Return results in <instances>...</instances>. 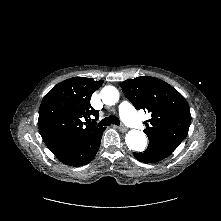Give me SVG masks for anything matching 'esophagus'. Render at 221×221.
<instances>
[{
	"instance_id": "esophagus-1",
	"label": "esophagus",
	"mask_w": 221,
	"mask_h": 221,
	"mask_svg": "<svg viewBox=\"0 0 221 221\" xmlns=\"http://www.w3.org/2000/svg\"><path fill=\"white\" fill-rule=\"evenodd\" d=\"M118 129L121 131V132H126L128 129L127 127L125 126H119Z\"/></svg>"
}]
</instances>
